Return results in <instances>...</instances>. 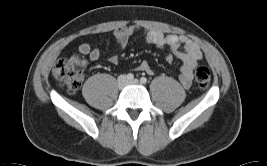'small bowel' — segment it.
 <instances>
[{
  "instance_id": "obj_1",
  "label": "small bowel",
  "mask_w": 267,
  "mask_h": 166,
  "mask_svg": "<svg viewBox=\"0 0 267 166\" xmlns=\"http://www.w3.org/2000/svg\"><path fill=\"white\" fill-rule=\"evenodd\" d=\"M138 30V27L120 28L115 31V38L120 50H124L128 43L130 36ZM144 39L148 44H152L159 49L166 50V61L171 62L175 57L182 61L181 68V83L185 88H189L192 84V73L196 64L201 60L202 54L199 47L186 36L164 35L158 30H146L144 32ZM184 48L183 51L179 47ZM78 51L82 55L89 57L92 61L100 58V51L93 48L88 43H82L78 46ZM120 61V54H115L111 57L112 63ZM138 69L146 74L152 75L153 68L146 62L142 61Z\"/></svg>"
}]
</instances>
